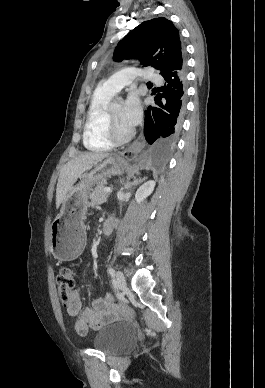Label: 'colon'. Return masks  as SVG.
<instances>
[{
  "instance_id": "colon-1",
  "label": "colon",
  "mask_w": 265,
  "mask_h": 388,
  "mask_svg": "<svg viewBox=\"0 0 265 388\" xmlns=\"http://www.w3.org/2000/svg\"><path fill=\"white\" fill-rule=\"evenodd\" d=\"M75 285V273L68 267H63L57 277V290L61 301L67 304ZM105 301L114 304L115 298L111 293L106 294Z\"/></svg>"
}]
</instances>
